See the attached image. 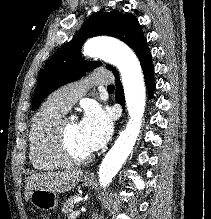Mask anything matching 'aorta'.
Listing matches in <instances>:
<instances>
[{"mask_svg": "<svg viewBox=\"0 0 211 219\" xmlns=\"http://www.w3.org/2000/svg\"><path fill=\"white\" fill-rule=\"evenodd\" d=\"M83 54L89 57H100L119 69L130 116L125 130L120 133L100 165L99 182L105 187L121 169L140 133L145 110V84L138 58L123 43L100 39L89 40L84 46Z\"/></svg>", "mask_w": 211, "mask_h": 219, "instance_id": "obj_1", "label": "aorta"}]
</instances>
